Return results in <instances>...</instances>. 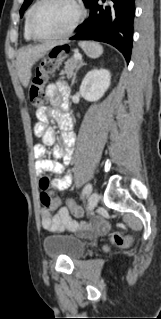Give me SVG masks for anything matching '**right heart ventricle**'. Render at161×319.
<instances>
[{"instance_id": "obj_1", "label": "right heart ventricle", "mask_w": 161, "mask_h": 319, "mask_svg": "<svg viewBox=\"0 0 161 319\" xmlns=\"http://www.w3.org/2000/svg\"><path fill=\"white\" fill-rule=\"evenodd\" d=\"M36 4H37V2L33 3L31 5V7L27 10L26 15H25L24 38L27 41H31L32 40V38L30 37L29 32H28V21H29L30 14H31V12H32V10H33V8L35 7Z\"/></svg>"}]
</instances>
